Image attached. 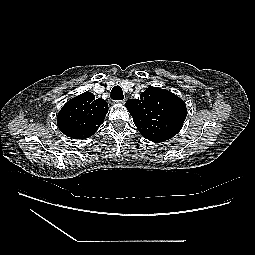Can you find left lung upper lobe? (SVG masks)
<instances>
[{"instance_id": "5c2ea615", "label": "left lung upper lobe", "mask_w": 255, "mask_h": 255, "mask_svg": "<svg viewBox=\"0 0 255 255\" xmlns=\"http://www.w3.org/2000/svg\"><path fill=\"white\" fill-rule=\"evenodd\" d=\"M125 105L143 137L156 143L174 137L187 116L185 102L158 87H148L140 98L129 99Z\"/></svg>"}]
</instances>
